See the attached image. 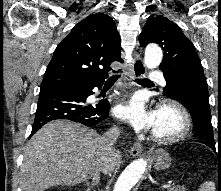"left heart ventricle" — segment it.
<instances>
[{
    "instance_id": "obj_1",
    "label": "left heart ventricle",
    "mask_w": 221,
    "mask_h": 191,
    "mask_svg": "<svg viewBox=\"0 0 221 191\" xmlns=\"http://www.w3.org/2000/svg\"><path fill=\"white\" fill-rule=\"evenodd\" d=\"M178 119L174 113L169 110L158 113V121L154 128L155 131L168 134L176 130Z\"/></svg>"
}]
</instances>
